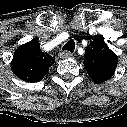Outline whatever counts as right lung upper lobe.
Listing matches in <instances>:
<instances>
[{"label": "right lung upper lobe", "instance_id": "1", "mask_svg": "<svg viewBox=\"0 0 127 127\" xmlns=\"http://www.w3.org/2000/svg\"><path fill=\"white\" fill-rule=\"evenodd\" d=\"M53 64L54 57L42 52L39 41L33 39L15 50L11 70L23 81L37 82L43 79Z\"/></svg>", "mask_w": 127, "mask_h": 127}]
</instances>
